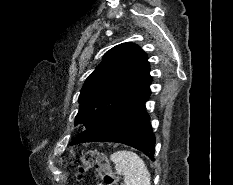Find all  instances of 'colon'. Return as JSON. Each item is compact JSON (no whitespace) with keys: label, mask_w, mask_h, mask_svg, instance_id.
Returning <instances> with one entry per match:
<instances>
[{"label":"colon","mask_w":233,"mask_h":185,"mask_svg":"<svg viewBox=\"0 0 233 185\" xmlns=\"http://www.w3.org/2000/svg\"><path fill=\"white\" fill-rule=\"evenodd\" d=\"M91 167L97 171L100 185H117L109 161L102 151L91 149L83 154L82 165L79 166L78 172L81 173Z\"/></svg>","instance_id":"obj_1"}]
</instances>
